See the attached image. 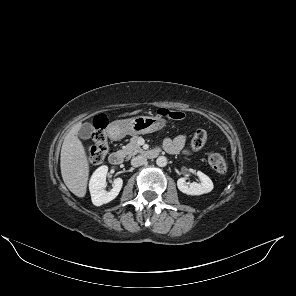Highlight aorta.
<instances>
[{
    "label": "aorta",
    "instance_id": "aorta-1",
    "mask_svg": "<svg viewBox=\"0 0 296 296\" xmlns=\"http://www.w3.org/2000/svg\"><path fill=\"white\" fill-rule=\"evenodd\" d=\"M156 164L159 166V167H165L167 165V158L165 156H159L157 159H156Z\"/></svg>",
    "mask_w": 296,
    "mask_h": 296
}]
</instances>
